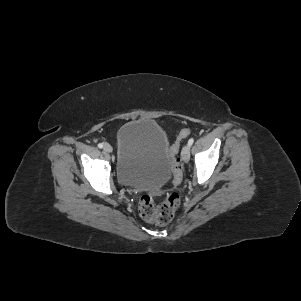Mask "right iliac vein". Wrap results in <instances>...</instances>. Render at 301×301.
<instances>
[{"mask_svg": "<svg viewBox=\"0 0 301 301\" xmlns=\"http://www.w3.org/2000/svg\"><path fill=\"white\" fill-rule=\"evenodd\" d=\"M103 150L107 153H111L113 149H112L111 145L105 143L103 146Z\"/></svg>", "mask_w": 301, "mask_h": 301, "instance_id": "right-iliac-vein-1", "label": "right iliac vein"}]
</instances>
